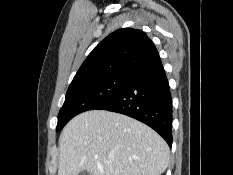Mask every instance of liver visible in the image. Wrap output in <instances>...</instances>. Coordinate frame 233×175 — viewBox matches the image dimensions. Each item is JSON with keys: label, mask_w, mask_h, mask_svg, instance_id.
I'll return each mask as SVG.
<instances>
[{"label": "liver", "mask_w": 233, "mask_h": 175, "mask_svg": "<svg viewBox=\"0 0 233 175\" xmlns=\"http://www.w3.org/2000/svg\"><path fill=\"white\" fill-rule=\"evenodd\" d=\"M59 146L58 175H161L169 163V147L153 129L104 110L70 120Z\"/></svg>", "instance_id": "6515ba94"}]
</instances>
